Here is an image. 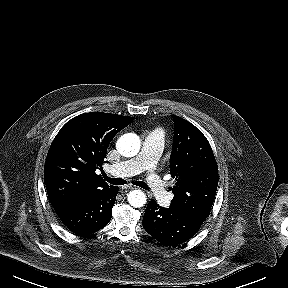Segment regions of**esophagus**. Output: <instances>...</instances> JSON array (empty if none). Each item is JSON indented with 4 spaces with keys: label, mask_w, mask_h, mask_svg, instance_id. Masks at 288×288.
<instances>
[{
    "label": "esophagus",
    "mask_w": 288,
    "mask_h": 288,
    "mask_svg": "<svg viewBox=\"0 0 288 288\" xmlns=\"http://www.w3.org/2000/svg\"><path fill=\"white\" fill-rule=\"evenodd\" d=\"M123 189H136V186H133V185H126L123 187Z\"/></svg>",
    "instance_id": "esophagus-1"
}]
</instances>
